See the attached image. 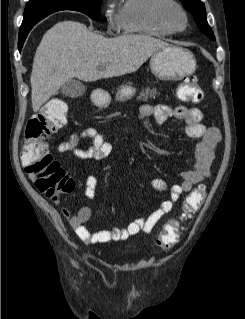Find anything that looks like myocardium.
I'll return each mask as SVG.
<instances>
[{
	"label": "myocardium",
	"mask_w": 245,
	"mask_h": 319,
	"mask_svg": "<svg viewBox=\"0 0 245 319\" xmlns=\"http://www.w3.org/2000/svg\"><path fill=\"white\" fill-rule=\"evenodd\" d=\"M156 16L171 32H182L187 28L188 17L183 7L174 0H165L157 5ZM178 18V23L175 18Z\"/></svg>",
	"instance_id": "f54148a6"
}]
</instances>
